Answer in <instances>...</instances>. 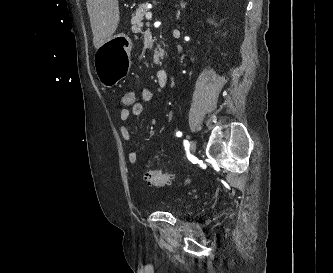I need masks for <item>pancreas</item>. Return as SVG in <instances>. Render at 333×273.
I'll return each mask as SVG.
<instances>
[{
	"instance_id": "1",
	"label": "pancreas",
	"mask_w": 333,
	"mask_h": 273,
	"mask_svg": "<svg viewBox=\"0 0 333 273\" xmlns=\"http://www.w3.org/2000/svg\"><path fill=\"white\" fill-rule=\"evenodd\" d=\"M147 4L142 3L138 6V8L135 10V12L132 15L131 23H132V31L134 33H142L141 28L143 26V19L145 14L147 13ZM164 55L163 50H160V52L155 51L154 54V63L159 64L160 58H162Z\"/></svg>"
}]
</instances>
